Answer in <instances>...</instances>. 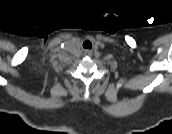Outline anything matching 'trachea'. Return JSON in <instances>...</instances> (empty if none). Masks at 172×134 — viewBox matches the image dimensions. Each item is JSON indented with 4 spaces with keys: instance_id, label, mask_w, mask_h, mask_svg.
Here are the masks:
<instances>
[{
    "instance_id": "obj_1",
    "label": "trachea",
    "mask_w": 172,
    "mask_h": 134,
    "mask_svg": "<svg viewBox=\"0 0 172 134\" xmlns=\"http://www.w3.org/2000/svg\"><path fill=\"white\" fill-rule=\"evenodd\" d=\"M83 47L86 48V49H91L92 48V43L90 41H85L83 43Z\"/></svg>"
}]
</instances>
